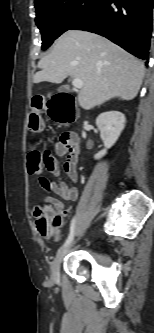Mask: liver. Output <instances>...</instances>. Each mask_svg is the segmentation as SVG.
Returning <instances> with one entry per match:
<instances>
[{"label":"liver","instance_id":"liver-1","mask_svg":"<svg viewBox=\"0 0 154 333\" xmlns=\"http://www.w3.org/2000/svg\"><path fill=\"white\" fill-rule=\"evenodd\" d=\"M34 83L60 84L67 77L81 79L78 102L89 110L120 97L132 100L138 94L144 63L118 45L97 34L68 30L55 42L52 51L38 62Z\"/></svg>","mask_w":154,"mask_h":333}]
</instances>
